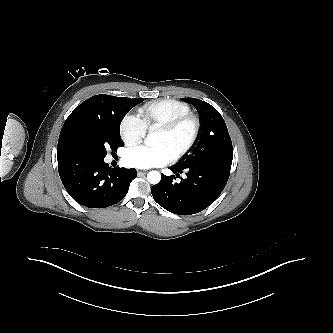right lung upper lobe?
<instances>
[{"label": "right lung upper lobe", "instance_id": "obj_1", "mask_svg": "<svg viewBox=\"0 0 333 333\" xmlns=\"http://www.w3.org/2000/svg\"><path fill=\"white\" fill-rule=\"evenodd\" d=\"M110 97H111L110 95L101 94V95H96V96H93V97L87 99L86 101L81 103L79 106H77L74 109V111L69 115V117L65 121L62 129L78 114H81V113H92V114H98V115L105 114L108 109V103H109ZM57 152H58V154L64 152L61 149L59 141H58Z\"/></svg>", "mask_w": 333, "mask_h": 333}]
</instances>
